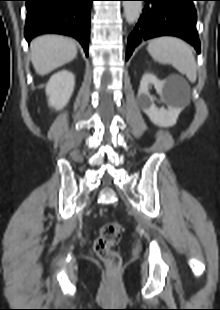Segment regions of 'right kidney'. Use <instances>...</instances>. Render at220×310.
I'll use <instances>...</instances> for the list:
<instances>
[{"label": "right kidney", "mask_w": 220, "mask_h": 310, "mask_svg": "<svg viewBox=\"0 0 220 310\" xmlns=\"http://www.w3.org/2000/svg\"><path fill=\"white\" fill-rule=\"evenodd\" d=\"M75 86V77L68 70H61L51 76L46 85L49 106L63 109L70 100Z\"/></svg>", "instance_id": "right-kidney-1"}]
</instances>
